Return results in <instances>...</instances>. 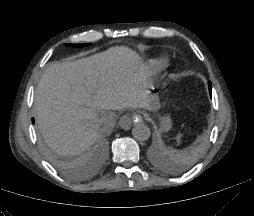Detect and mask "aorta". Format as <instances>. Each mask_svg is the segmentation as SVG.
Wrapping results in <instances>:
<instances>
[{
	"instance_id": "762f6f07",
	"label": "aorta",
	"mask_w": 254,
	"mask_h": 216,
	"mask_svg": "<svg viewBox=\"0 0 254 216\" xmlns=\"http://www.w3.org/2000/svg\"><path fill=\"white\" fill-rule=\"evenodd\" d=\"M132 135L138 141H146L151 135V130L146 124L138 122L132 129Z\"/></svg>"
}]
</instances>
